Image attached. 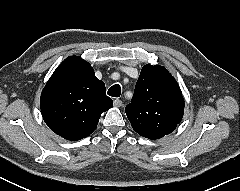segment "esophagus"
I'll use <instances>...</instances> for the list:
<instances>
[{"mask_svg": "<svg viewBox=\"0 0 240 191\" xmlns=\"http://www.w3.org/2000/svg\"><path fill=\"white\" fill-rule=\"evenodd\" d=\"M114 106L115 107H121L122 106V101L120 99H115L114 100Z\"/></svg>", "mask_w": 240, "mask_h": 191, "instance_id": "obj_1", "label": "esophagus"}]
</instances>
